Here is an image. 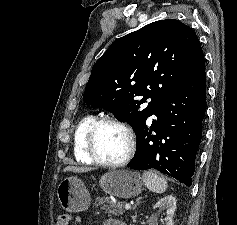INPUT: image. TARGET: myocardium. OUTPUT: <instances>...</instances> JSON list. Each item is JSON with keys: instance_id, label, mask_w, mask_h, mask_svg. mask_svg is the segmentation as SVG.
<instances>
[{"instance_id": "myocardium-1", "label": "myocardium", "mask_w": 237, "mask_h": 225, "mask_svg": "<svg viewBox=\"0 0 237 225\" xmlns=\"http://www.w3.org/2000/svg\"><path fill=\"white\" fill-rule=\"evenodd\" d=\"M103 125H114L119 127L124 131L128 140V149L125 156L118 161H107L99 157L95 148V136L98 129ZM85 148L88 156L93 160V162L112 168H118L125 166L132 158L135 149H136V138L132 128L126 123L112 117H103L95 120L91 126L89 127L86 140H85Z\"/></svg>"}]
</instances>
